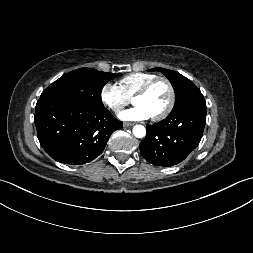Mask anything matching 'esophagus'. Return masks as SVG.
I'll return each instance as SVG.
<instances>
[{"instance_id":"obj_1","label":"esophagus","mask_w":253,"mask_h":253,"mask_svg":"<svg viewBox=\"0 0 253 253\" xmlns=\"http://www.w3.org/2000/svg\"><path fill=\"white\" fill-rule=\"evenodd\" d=\"M133 125H134L133 122H124V123H123V126H124V127H130V126H133Z\"/></svg>"}]
</instances>
